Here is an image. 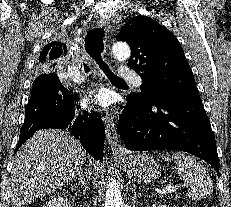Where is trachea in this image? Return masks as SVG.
<instances>
[{
	"mask_svg": "<svg viewBox=\"0 0 231 207\" xmlns=\"http://www.w3.org/2000/svg\"><path fill=\"white\" fill-rule=\"evenodd\" d=\"M104 29L93 28L90 29L85 38V50L91 56V58L99 65L100 69L105 73L107 78L112 83H126L121 78L117 77L109 68L108 64L102 59V52L104 51ZM84 65L85 72H89L90 69L87 64Z\"/></svg>",
	"mask_w": 231,
	"mask_h": 207,
	"instance_id": "trachea-1",
	"label": "trachea"
}]
</instances>
